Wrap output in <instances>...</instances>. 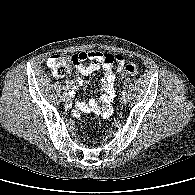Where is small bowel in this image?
Segmentation results:
<instances>
[{
	"label": "small bowel",
	"instance_id": "small-bowel-1",
	"mask_svg": "<svg viewBox=\"0 0 195 195\" xmlns=\"http://www.w3.org/2000/svg\"><path fill=\"white\" fill-rule=\"evenodd\" d=\"M90 61L85 65V61ZM75 73L71 81L70 94L82 85V76H87L100 69L104 76L100 81L99 95L92 97L88 103L77 102L76 108L84 113H94L103 117H109L113 108L111 103L115 98V82L124 67L125 59L120 54H111L100 51H84L72 56Z\"/></svg>",
	"mask_w": 195,
	"mask_h": 195
}]
</instances>
